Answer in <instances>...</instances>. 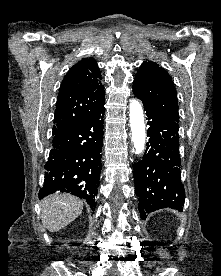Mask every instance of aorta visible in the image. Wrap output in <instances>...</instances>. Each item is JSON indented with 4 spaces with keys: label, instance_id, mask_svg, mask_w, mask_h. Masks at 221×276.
<instances>
[{
    "label": "aorta",
    "instance_id": "obj_1",
    "mask_svg": "<svg viewBox=\"0 0 221 276\" xmlns=\"http://www.w3.org/2000/svg\"><path fill=\"white\" fill-rule=\"evenodd\" d=\"M129 117L135 153L141 154L145 146V122L142 106L137 100L130 102Z\"/></svg>",
    "mask_w": 221,
    "mask_h": 276
}]
</instances>
